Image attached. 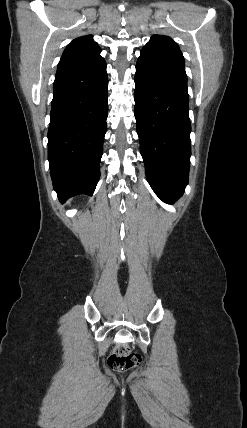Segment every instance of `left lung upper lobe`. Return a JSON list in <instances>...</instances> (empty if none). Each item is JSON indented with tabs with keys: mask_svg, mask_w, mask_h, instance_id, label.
<instances>
[{
	"mask_svg": "<svg viewBox=\"0 0 247 428\" xmlns=\"http://www.w3.org/2000/svg\"><path fill=\"white\" fill-rule=\"evenodd\" d=\"M144 48L157 51L161 54L168 55L184 61V57L179 46L172 38L163 35H153Z\"/></svg>",
	"mask_w": 247,
	"mask_h": 428,
	"instance_id": "5c2ea615",
	"label": "left lung upper lobe"
}]
</instances>
